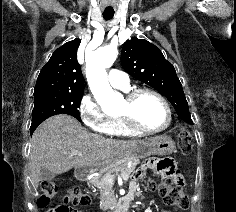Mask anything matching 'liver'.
<instances>
[{"mask_svg":"<svg viewBox=\"0 0 236 212\" xmlns=\"http://www.w3.org/2000/svg\"><path fill=\"white\" fill-rule=\"evenodd\" d=\"M141 140H115L89 133L72 116L60 114L41 123L35 130L30 149V178L38 187L42 168L62 174L72 168H100L110 159L123 156ZM77 150L81 155H71Z\"/></svg>","mask_w":236,"mask_h":212,"instance_id":"1","label":"liver"}]
</instances>
